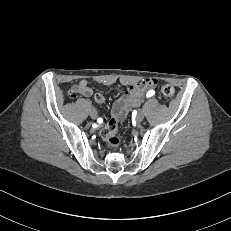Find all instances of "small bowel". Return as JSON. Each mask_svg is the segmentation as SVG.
<instances>
[{
    "mask_svg": "<svg viewBox=\"0 0 231 231\" xmlns=\"http://www.w3.org/2000/svg\"><path fill=\"white\" fill-rule=\"evenodd\" d=\"M155 81L153 79H146L136 84H131L128 87L126 95L120 97L113 104L111 115L113 118L123 119L129 110L140 104L143 95L153 89ZM72 96L80 94L84 97H90L93 90L88 86L85 79H81L77 84L71 88ZM94 99L98 104H103L106 100L105 96L101 93H96Z\"/></svg>",
    "mask_w": 231,
    "mask_h": 231,
    "instance_id": "obj_1",
    "label": "small bowel"
}]
</instances>
